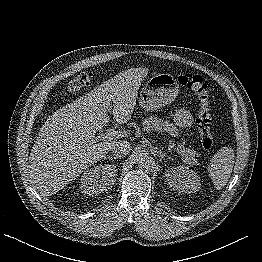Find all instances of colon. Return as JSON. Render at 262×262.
Here are the masks:
<instances>
[{"label":"colon","instance_id":"5ec220e1","mask_svg":"<svg viewBox=\"0 0 262 262\" xmlns=\"http://www.w3.org/2000/svg\"><path fill=\"white\" fill-rule=\"evenodd\" d=\"M90 74L79 75L73 79L66 87L65 94L75 93L86 88L91 83ZM179 83L190 89L199 103V113L196 120L202 147L210 150L215 145V140L211 134V114H210V94L207 84L199 75L183 74L178 78Z\"/></svg>","mask_w":262,"mask_h":262}]
</instances>
